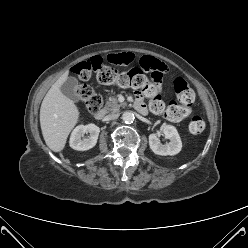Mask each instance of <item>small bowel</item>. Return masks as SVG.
<instances>
[{
	"label": "small bowel",
	"mask_w": 248,
	"mask_h": 248,
	"mask_svg": "<svg viewBox=\"0 0 248 248\" xmlns=\"http://www.w3.org/2000/svg\"><path fill=\"white\" fill-rule=\"evenodd\" d=\"M105 60L109 63L117 64V65L129 64L134 60V56L132 53L129 52H120V53L108 55L105 58ZM140 65L145 70L153 71V75L156 78H161L163 73H165L167 70V67L163 62L150 56H146L143 59H141ZM136 102L142 106V108L144 109L142 113H144L146 111V108L142 101L141 95L137 96Z\"/></svg>",
	"instance_id": "obj_1"
}]
</instances>
